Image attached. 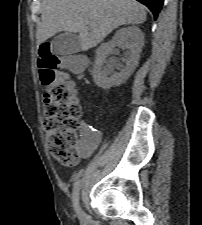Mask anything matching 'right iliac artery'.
<instances>
[{
	"label": "right iliac artery",
	"instance_id": "1",
	"mask_svg": "<svg viewBox=\"0 0 202 225\" xmlns=\"http://www.w3.org/2000/svg\"><path fill=\"white\" fill-rule=\"evenodd\" d=\"M79 191H80V180L78 179L74 184L73 196H72L73 206L77 213L79 211Z\"/></svg>",
	"mask_w": 202,
	"mask_h": 225
}]
</instances>
